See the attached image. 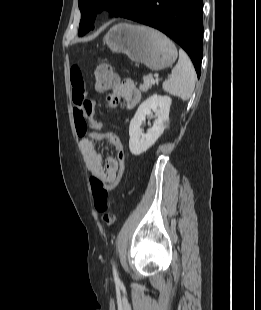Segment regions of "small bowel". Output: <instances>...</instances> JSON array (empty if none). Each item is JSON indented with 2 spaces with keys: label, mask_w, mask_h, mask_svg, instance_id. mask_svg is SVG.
<instances>
[{
  "label": "small bowel",
  "mask_w": 261,
  "mask_h": 310,
  "mask_svg": "<svg viewBox=\"0 0 261 310\" xmlns=\"http://www.w3.org/2000/svg\"><path fill=\"white\" fill-rule=\"evenodd\" d=\"M71 85L74 120L78 135L83 137L80 145L87 168L93 176L106 183H113L119 171L118 161L109 156L104 163L97 150L96 141L105 140L113 145L115 140H120L113 133L105 131L101 122L93 119L92 102L87 98L82 72L77 65L71 69ZM140 99L141 92L131 79L116 78L106 102L109 107L114 108L123 100L127 109H133ZM89 126H92L94 131L87 134Z\"/></svg>",
  "instance_id": "small-bowel-1"
}]
</instances>
